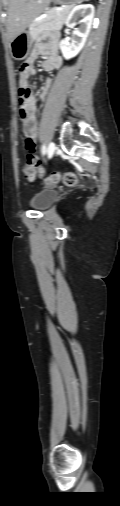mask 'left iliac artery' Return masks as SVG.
Returning <instances> with one entry per match:
<instances>
[{
	"label": "left iliac artery",
	"mask_w": 120,
	"mask_h": 506,
	"mask_svg": "<svg viewBox=\"0 0 120 506\" xmlns=\"http://www.w3.org/2000/svg\"><path fill=\"white\" fill-rule=\"evenodd\" d=\"M46 151H47L46 150V146H45V144H43L42 147H41V153H42V155H45Z\"/></svg>",
	"instance_id": "44dca946"
}]
</instances>
